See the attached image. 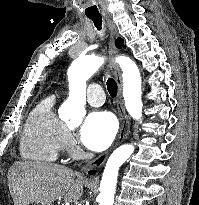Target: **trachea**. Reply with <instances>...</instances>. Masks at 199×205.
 <instances>
[{
	"instance_id": "1",
	"label": "trachea",
	"mask_w": 199,
	"mask_h": 205,
	"mask_svg": "<svg viewBox=\"0 0 199 205\" xmlns=\"http://www.w3.org/2000/svg\"><path fill=\"white\" fill-rule=\"evenodd\" d=\"M90 19L93 21L95 27L98 30H101L102 18L101 17H90ZM106 85H107V90H108L109 94L112 97H115L117 95V90H118L116 81L113 78L109 77L107 82H106Z\"/></svg>"
}]
</instances>
